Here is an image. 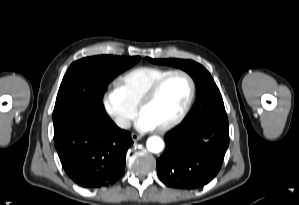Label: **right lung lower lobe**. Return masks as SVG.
Returning <instances> with one entry per match:
<instances>
[{
	"mask_svg": "<svg viewBox=\"0 0 299 205\" xmlns=\"http://www.w3.org/2000/svg\"><path fill=\"white\" fill-rule=\"evenodd\" d=\"M54 143L67 175L78 185L93 189L120 179L133 141L108 115L83 112L54 129Z\"/></svg>",
	"mask_w": 299,
	"mask_h": 205,
	"instance_id": "98d812e1",
	"label": "right lung lower lobe"
}]
</instances>
